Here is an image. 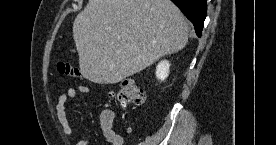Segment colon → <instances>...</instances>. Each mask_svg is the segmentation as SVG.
<instances>
[{"instance_id":"5ec220e1","label":"colon","mask_w":276,"mask_h":145,"mask_svg":"<svg viewBox=\"0 0 276 145\" xmlns=\"http://www.w3.org/2000/svg\"><path fill=\"white\" fill-rule=\"evenodd\" d=\"M58 72L62 75L78 77L79 72L70 63L60 61L57 65ZM111 97L122 105H142L145 93L133 80L123 79L117 91L111 92Z\"/></svg>"}]
</instances>
